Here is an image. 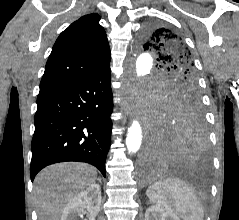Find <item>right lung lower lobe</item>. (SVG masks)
<instances>
[{"label": "right lung lower lobe", "instance_id": "obj_1", "mask_svg": "<svg viewBox=\"0 0 239 220\" xmlns=\"http://www.w3.org/2000/svg\"><path fill=\"white\" fill-rule=\"evenodd\" d=\"M112 110L110 64L81 81L39 92L31 180L42 168L64 161L92 164L105 176Z\"/></svg>", "mask_w": 239, "mask_h": 220}]
</instances>
